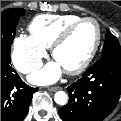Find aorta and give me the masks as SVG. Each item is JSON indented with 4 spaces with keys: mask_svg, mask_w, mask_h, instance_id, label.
<instances>
[{
    "mask_svg": "<svg viewBox=\"0 0 121 121\" xmlns=\"http://www.w3.org/2000/svg\"><path fill=\"white\" fill-rule=\"evenodd\" d=\"M54 100L58 105H65L68 102V96L64 91H58L54 95Z\"/></svg>",
    "mask_w": 121,
    "mask_h": 121,
    "instance_id": "762f6f07",
    "label": "aorta"
}]
</instances>
